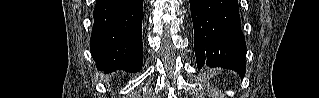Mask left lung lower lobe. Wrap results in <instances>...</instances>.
<instances>
[{
  "label": "left lung lower lobe",
  "instance_id": "obj_1",
  "mask_svg": "<svg viewBox=\"0 0 319 98\" xmlns=\"http://www.w3.org/2000/svg\"><path fill=\"white\" fill-rule=\"evenodd\" d=\"M198 68L205 63L245 74L246 44L237 0H189Z\"/></svg>",
  "mask_w": 319,
  "mask_h": 98
}]
</instances>
